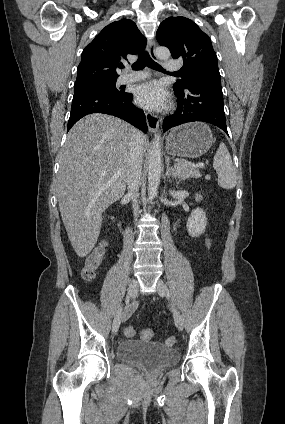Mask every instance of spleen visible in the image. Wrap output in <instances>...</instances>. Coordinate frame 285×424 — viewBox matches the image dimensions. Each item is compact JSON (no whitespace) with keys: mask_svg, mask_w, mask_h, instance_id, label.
<instances>
[{"mask_svg":"<svg viewBox=\"0 0 285 424\" xmlns=\"http://www.w3.org/2000/svg\"><path fill=\"white\" fill-rule=\"evenodd\" d=\"M213 167L218 173V184L220 187L230 190L236 186L237 173L233 166L230 153L224 143H220L216 151Z\"/></svg>","mask_w":285,"mask_h":424,"instance_id":"spleen-1","label":"spleen"}]
</instances>
